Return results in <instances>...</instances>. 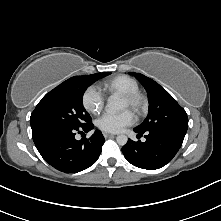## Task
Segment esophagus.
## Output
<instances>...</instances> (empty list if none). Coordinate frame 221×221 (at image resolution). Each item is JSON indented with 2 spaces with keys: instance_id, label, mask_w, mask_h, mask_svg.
<instances>
[{
  "instance_id": "esophagus-1",
  "label": "esophagus",
  "mask_w": 221,
  "mask_h": 221,
  "mask_svg": "<svg viewBox=\"0 0 221 221\" xmlns=\"http://www.w3.org/2000/svg\"><path fill=\"white\" fill-rule=\"evenodd\" d=\"M103 135H104L105 138H110V137L115 136V134L107 133V132H104Z\"/></svg>"
}]
</instances>
